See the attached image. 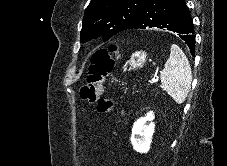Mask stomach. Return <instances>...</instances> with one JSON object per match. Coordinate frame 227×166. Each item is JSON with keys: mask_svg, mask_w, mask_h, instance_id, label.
I'll return each instance as SVG.
<instances>
[{"mask_svg": "<svg viewBox=\"0 0 227 166\" xmlns=\"http://www.w3.org/2000/svg\"><path fill=\"white\" fill-rule=\"evenodd\" d=\"M147 61V53L145 51H136L132 54L126 65H129V70L141 68Z\"/></svg>", "mask_w": 227, "mask_h": 166, "instance_id": "1", "label": "stomach"}]
</instances>
